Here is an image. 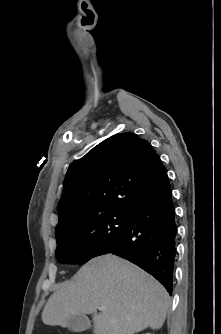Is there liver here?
I'll list each match as a JSON object with an SVG mask.
<instances>
[{
  "label": "liver",
  "instance_id": "6515ba94",
  "mask_svg": "<svg viewBox=\"0 0 221 334\" xmlns=\"http://www.w3.org/2000/svg\"><path fill=\"white\" fill-rule=\"evenodd\" d=\"M169 294L152 276L113 254L91 259L54 292L43 311L46 325L67 327L70 317L91 314L95 334H134L160 329ZM104 307L105 310L97 313Z\"/></svg>",
  "mask_w": 221,
  "mask_h": 334
}]
</instances>
